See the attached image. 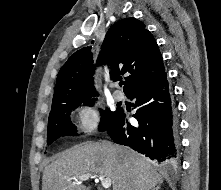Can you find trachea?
<instances>
[{"instance_id":"obj_1","label":"trachea","mask_w":221,"mask_h":190,"mask_svg":"<svg viewBox=\"0 0 221 190\" xmlns=\"http://www.w3.org/2000/svg\"><path fill=\"white\" fill-rule=\"evenodd\" d=\"M123 84H124V82H123V81H120V82H119V85H120V86H122Z\"/></svg>"}]
</instances>
